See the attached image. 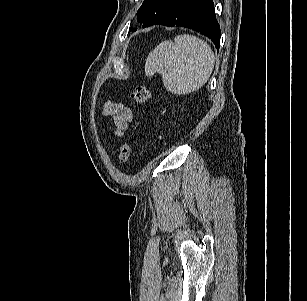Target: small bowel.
Here are the masks:
<instances>
[{"instance_id":"obj_1","label":"small bowel","mask_w":307,"mask_h":301,"mask_svg":"<svg viewBox=\"0 0 307 301\" xmlns=\"http://www.w3.org/2000/svg\"><path fill=\"white\" fill-rule=\"evenodd\" d=\"M103 114L114 119L117 127L116 135H120L125 129H127L133 118L130 108L120 102H106L103 106Z\"/></svg>"}]
</instances>
